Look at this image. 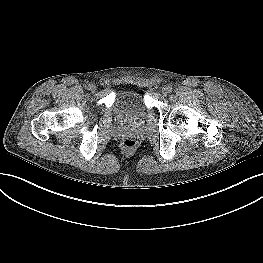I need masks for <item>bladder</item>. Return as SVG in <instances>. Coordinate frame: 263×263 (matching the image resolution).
<instances>
[{
    "label": "bladder",
    "mask_w": 263,
    "mask_h": 263,
    "mask_svg": "<svg viewBox=\"0 0 263 263\" xmlns=\"http://www.w3.org/2000/svg\"><path fill=\"white\" fill-rule=\"evenodd\" d=\"M146 108L142 95L133 90H120L116 93L113 114L127 122L140 121L144 118Z\"/></svg>",
    "instance_id": "bladder-1"
}]
</instances>
